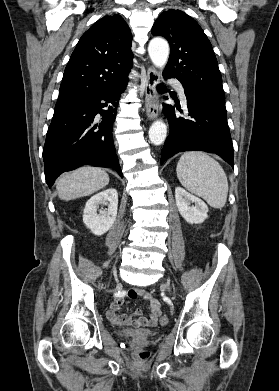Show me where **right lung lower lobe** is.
Returning a JSON list of instances; mask_svg holds the SVG:
<instances>
[{
    "label": "right lung lower lobe",
    "mask_w": 279,
    "mask_h": 391,
    "mask_svg": "<svg viewBox=\"0 0 279 391\" xmlns=\"http://www.w3.org/2000/svg\"><path fill=\"white\" fill-rule=\"evenodd\" d=\"M126 86L127 81L93 96L56 104L43 148L49 188L61 173L82 165L109 167L123 177L112 130L117 102Z\"/></svg>",
    "instance_id": "1"
}]
</instances>
